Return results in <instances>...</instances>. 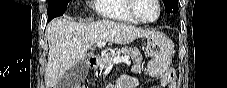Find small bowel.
<instances>
[{
	"label": "small bowel",
	"mask_w": 227,
	"mask_h": 88,
	"mask_svg": "<svg viewBox=\"0 0 227 88\" xmlns=\"http://www.w3.org/2000/svg\"><path fill=\"white\" fill-rule=\"evenodd\" d=\"M163 86L169 85V88H176V81L171 71L166 72L161 81ZM136 85V81L130 77H123L119 82L118 88H132Z\"/></svg>",
	"instance_id": "1"
}]
</instances>
